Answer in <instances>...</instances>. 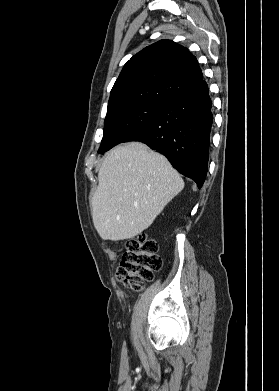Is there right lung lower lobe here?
Listing matches in <instances>:
<instances>
[{
  "mask_svg": "<svg viewBox=\"0 0 279 391\" xmlns=\"http://www.w3.org/2000/svg\"><path fill=\"white\" fill-rule=\"evenodd\" d=\"M205 81L167 101L147 126L125 142L140 141L165 155L183 175L202 187L208 166L213 123Z\"/></svg>",
  "mask_w": 279,
  "mask_h": 391,
  "instance_id": "98d812e1",
  "label": "right lung lower lobe"
}]
</instances>
